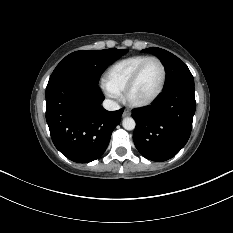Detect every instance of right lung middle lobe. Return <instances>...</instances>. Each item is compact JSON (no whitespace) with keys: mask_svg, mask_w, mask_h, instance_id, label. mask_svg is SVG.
I'll return each mask as SVG.
<instances>
[{"mask_svg":"<svg viewBox=\"0 0 233 233\" xmlns=\"http://www.w3.org/2000/svg\"><path fill=\"white\" fill-rule=\"evenodd\" d=\"M128 50L105 49V50H82L66 56L55 68L49 82L57 79H78L98 84L99 79L106 67L119 59Z\"/></svg>","mask_w":233,"mask_h":233,"instance_id":"right-lung-middle-lobe-1","label":"right lung middle lobe"}]
</instances>
